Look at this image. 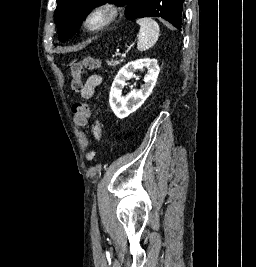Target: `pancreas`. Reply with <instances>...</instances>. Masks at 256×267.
<instances>
[{"label":"pancreas","mask_w":256,"mask_h":267,"mask_svg":"<svg viewBox=\"0 0 256 267\" xmlns=\"http://www.w3.org/2000/svg\"><path fill=\"white\" fill-rule=\"evenodd\" d=\"M119 62H108V66H118Z\"/></svg>","instance_id":"obj_1"}]
</instances>
